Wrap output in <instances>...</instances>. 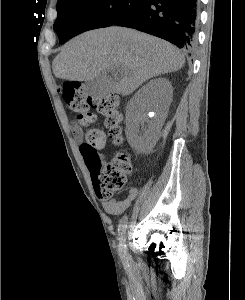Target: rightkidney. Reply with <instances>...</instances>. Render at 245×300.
<instances>
[{
  "instance_id": "1",
  "label": "right kidney",
  "mask_w": 245,
  "mask_h": 300,
  "mask_svg": "<svg viewBox=\"0 0 245 300\" xmlns=\"http://www.w3.org/2000/svg\"><path fill=\"white\" fill-rule=\"evenodd\" d=\"M172 95L169 80L157 78L139 89L128 102L125 132L132 148L147 152L154 147L167 117ZM151 111L153 116L148 119Z\"/></svg>"
}]
</instances>
